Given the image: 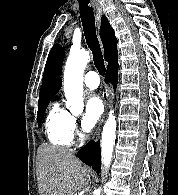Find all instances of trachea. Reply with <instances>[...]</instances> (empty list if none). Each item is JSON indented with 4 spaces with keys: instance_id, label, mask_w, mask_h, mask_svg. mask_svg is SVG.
Instances as JSON below:
<instances>
[{
    "instance_id": "trachea-1",
    "label": "trachea",
    "mask_w": 178,
    "mask_h": 195,
    "mask_svg": "<svg viewBox=\"0 0 178 195\" xmlns=\"http://www.w3.org/2000/svg\"><path fill=\"white\" fill-rule=\"evenodd\" d=\"M78 2L86 43L93 54L95 67L97 68L99 74L104 76L106 68L96 35L95 17L93 9L90 6V0H78Z\"/></svg>"
}]
</instances>
